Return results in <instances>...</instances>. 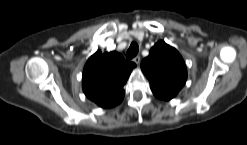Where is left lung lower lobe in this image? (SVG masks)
Wrapping results in <instances>:
<instances>
[{
	"instance_id": "obj_1",
	"label": "left lung lower lobe",
	"mask_w": 247,
	"mask_h": 145,
	"mask_svg": "<svg viewBox=\"0 0 247 145\" xmlns=\"http://www.w3.org/2000/svg\"><path fill=\"white\" fill-rule=\"evenodd\" d=\"M154 95H155L156 97L160 98V99H163V100H170V99H172L170 96L165 95V94H158V93H155Z\"/></svg>"
}]
</instances>
